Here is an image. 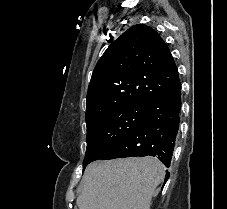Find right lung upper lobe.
<instances>
[{
	"mask_svg": "<svg viewBox=\"0 0 227 209\" xmlns=\"http://www.w3.org/2000/svg\"><path fill=\"white\" fill-rule=\"evenodd\" d=\"M173 64L169 47L154 29L145 24L132 26L109 45L93 71L86 119L102 111L104 99L147 103L165 92L172 81L164 69Z\"/></svg>",
	"mask_w": 227,
	"mask_h": 209,
	"instance_id": "right-lung-upper-lobe-1",
	"label": "right lung upper lobe"
}]
</instances>
